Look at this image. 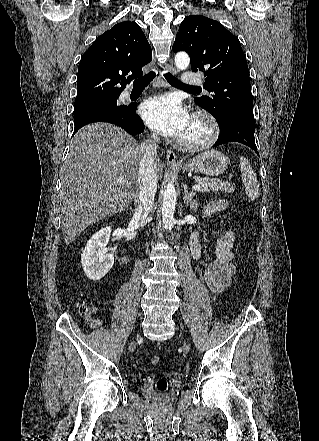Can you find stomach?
<instances>
[{
	"mask_svg": "<svg viewBox=\"0 0 319 441\" xmlns=\"http://www.w3.org/2000/svg\"><path fill=\"white\" fill-rule=\"evenodd\" d=\"M228 166L227 157L215 150H208L188 161L182 170L188 172H201L215 177L221 175Z\"/></svg>",
	"mask_w": 319,
	"mask_h": 441,
	"instance_id": "obj_1",
	"label": "stomach"
}]
</instances>
